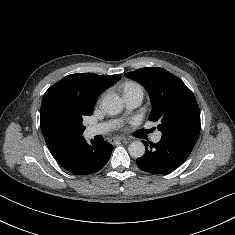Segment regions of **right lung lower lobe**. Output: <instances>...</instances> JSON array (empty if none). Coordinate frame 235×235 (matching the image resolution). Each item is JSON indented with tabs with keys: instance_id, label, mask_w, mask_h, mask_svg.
Listing matches in <instances>:
<instances>
[{
	"instance_id": "1",
	"label": "right lung lower lobe",
	"mask_w": 235,
	"mask_h": 235,
	"mask_svg": "<svg viewBox=\"0 0 235 235\" xmlns=\"http://www.w3.org/2000/svg\"><path fill=\"white\" fill-rule=\"evenodd\" d=\"M113 146L108 142H95L91 145L84 138L74 143L57 161L66 170L78 174H92L102 169L108 162Z\"/></svg>"
}]
</instances>
